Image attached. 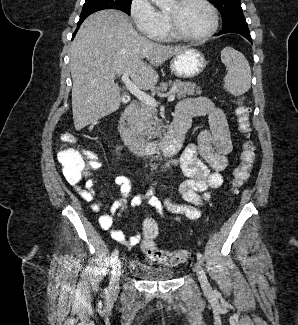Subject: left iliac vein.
<instances>
[{"label":"left iliac vein","mask_w":298,"mask_h":325,"mask_svg":"<svg viewBox=\"0 0 298 325\" xmlns=\"http://www.w3.org/2000/svg\"><path fill=\"white\" fill-rule=\"evenodd\" d=\"M194 269L197 273L198 280L200 282L202 289L204 291H210L211 290L210 284H209L206 274H205L204 270L202 269L199 262L195 263Z\"/></svg>","instance_id":"left-iliac-vein-1"}]
</instances>
